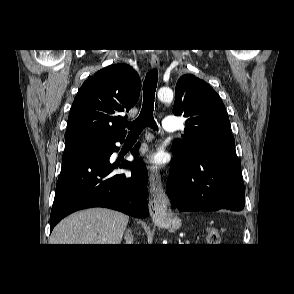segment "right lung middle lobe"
I'll return each instance as SVG.
<instances>
[{
	"label": "right lung middle lobe",
	"instance_id": "right-lung-middle-lobe-1",
	"mask_svg": "<svg viewBox=\"0 0 294 294\" xmlns=\"http://www.w3.org/2000/svg\"><path fill=\"white\" fill-rule=\"evenodd\" d=\"M104 143L105 142H101V141H90V140L77 141V142L66 144L64 153L70 152V151H73V150H79V149H84V148L97 147V146L102 145Z\"/></svg>",
	"mask_w": 294,
	"mask_h": 294
}]
</instances>
